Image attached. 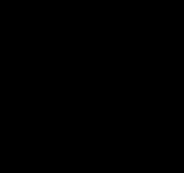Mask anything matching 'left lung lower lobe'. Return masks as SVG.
<instances>
[{
    "label": "left lung lower lobe",
    "instance_id": "left-lung-lower-lobe-1",
    "mask_svg": "<svg viewBox=\"0 0 184 173\" xmlns=\"http://www.w3.org/2000/svg\"><path fill=\"white\" fill-rule=\"evenodd\" d=\"M98 145L104 158L118 168H132L143 162L157 144H149L125 127L105 126Z\"/></svg>",
    "mask_w": 184,
    "mask_h": 173
}]
</instances>
